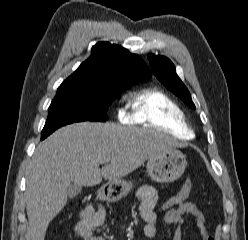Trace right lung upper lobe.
<instances>
[{
    "instance_id": "right-lung-upper-lobe-1",
    "label": "right lung upper lobe",
    "mask_w": 248,
    "mask_h": 240,
    "mask_svg": "<svg viewBox=\"0 0 248 240\" xmlns=\"http://www.w3.org/2000/svg\"><path fill=\"white\" fill-rule=\"evenodd\" d=\"M151 76L138 55L119 45L98 42L91 56L58 89L114 88Z\"/></svg>"
}]
</instances>
